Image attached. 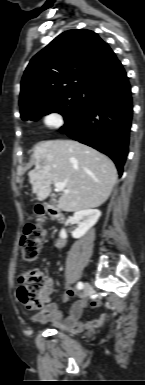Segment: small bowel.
I'll use <instances>...</instances> for the list:
<instances>
[{
	"label": "small bowel",
	"mask_w": 145,
	"mask_h": 385,
	"mask_svg": "<svg viewBox=\"0 0 145 385\" xmlns=\"http://www.w3.org/2000/svg\"><path fill=\"white\" fill-rule=\"evenodd\" d=\"M47 289L44 294V306L42 309L32 316L34 322L39 323H54L60 325L64 330L71 334H76L82 331L94 333L106 320L105 317L99 319L84 321V314L89 307H98L101 304L99 299L86 300L83 296L77 295L74 290H66L57 300L51 299L53 291V280L46 279ZM72 297H76V302L70 309L69 316L63 320L61 306L66 304Z\"/></svg>",
	"instance_id": "small-bowel-1"
}]
</instances>
